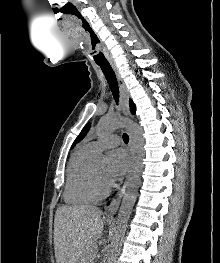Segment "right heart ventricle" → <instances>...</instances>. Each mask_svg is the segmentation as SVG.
<instances>
[{
    "label": "right heart ventricle",
    "instance_id": "e07e8e85",
    "mask_svg": "<svg viewBox=\"0 0 220 263\" xmlns=\"http://www.w3.org/2000/svg\"><path fill=\"white\" fill-rule=\"evenodd\" d=\"M94 152L86 145L80 147L71 157L67 166L64 200L71 205H83L97 198L89 189V172Z\"/></svg>",
    "mask_w": 220,
    "mask_h": 263
}]
</instances>
